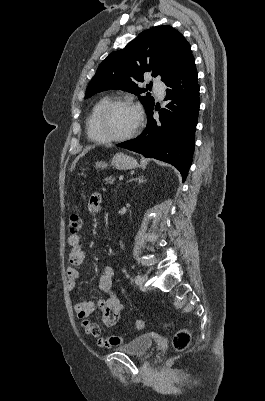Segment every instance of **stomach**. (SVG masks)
<instances>
[{
  "mask_svg": "<svg viewBox=\"0 0 265 401\" xmlns=\"http://www.w3.org/2000/svg\"><path fill=\"white\" fill-rule=\"evenodd\" d=\"M110 164L118 168V170H130V168H137L138 162L133 156H128V154H123V152H116L113 158L110 160ZM96 168H106L108 162L105 160H98L95 162Z\"/></svg>",
  "mask_w": 265,
  "mask_h": 401,
  "instance_id": "0dacf381",
  "label": "stomach"
}]
</instances>
